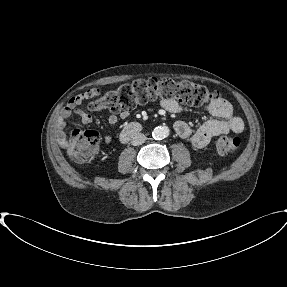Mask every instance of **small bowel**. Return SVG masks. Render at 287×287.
<instances>
[{
	"label": "small bowel",
	"instance_id": "c3829d8e",
	"mask_svg": "<svg viewBox=\"0 0 287 287\" xmlns=\"http://www.w3.org/2000/svg\"><path fill=\"white\" fill-rule=\"evenodd\" d=\"M99 93L98 89L80 93L72 97L66 106L62 109L56 121L57 136L60 141H64L67 135L66 120L73 114L79 116L83 124H90L93 120L92 116L78 107L90 97L96 96ZM162 107L172 113H177L181 110V105L175 100H163ZM208 113L215 117L202 124L197 130L193 131L189 124L185 121H176L174 130L176 134L183 140L188 141L195 148L205 147L212 137L226 134L228 132L240 133L244 129L243 121L233 112L232 105L224 98L219 97L213 103L206 107ZM128 111L120 113H112L108 117L110 124H115L118 120H125L129 117ZM105 142H110L111 137L105 136Z\"/></svg>",
	"mask_w": 287,
	"mask_h": 287
}]
</instances>
